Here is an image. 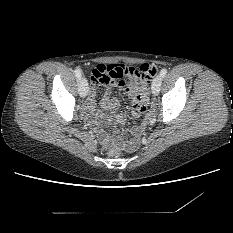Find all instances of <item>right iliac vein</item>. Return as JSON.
Returning <instances> with one entry per match:
<instances>
[{"label": "right iliac vein", "mask_w": 233, "mask_h": 233, "mask_svg": "<svg viewBox=\"0 0 233 233\" xmlns=\"http://www.w3.org/2000/svg\"><path fill=\"white\" fill-rule=\"evenodd\" d=\"M79 93L82 97H86L88 94V82L84 77L79 82Z\"/></svg>", "instance_id": "right-iliac-vein-1"}]
</instances>
